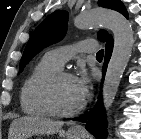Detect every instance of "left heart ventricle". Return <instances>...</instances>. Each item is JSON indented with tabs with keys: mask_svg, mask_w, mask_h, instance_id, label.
Returning <instances> with one entry per match:
<instances>
[{
	"mask_svg": "<svg viewBox=\"0 0 141 139\" xmlns=\"http://www.w3.org/2000/svg\"><path fill=\"white\" fill-rule=\"evenodd\" d=\"M54 96L56 105L61 110H70L82 102L74 77L61 79L56 85Z\"/></svg>",
	"mask_w": 141,
	"mask_h": 139,
	"instance_id": "1",
	"label": "left heart ventricle"
}]
</instances>
